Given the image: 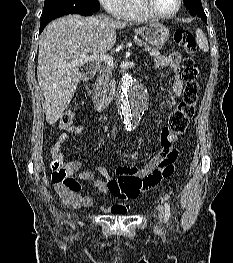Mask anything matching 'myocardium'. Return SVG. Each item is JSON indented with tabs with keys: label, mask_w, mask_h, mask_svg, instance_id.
Wrapping results in <instances>:
<instances>
[{
	"label": "myocardium",
	"mask_w": 233,
	"mask_h": 263,
	"mask_svg": "<svg viewBox=\"0 0 233 263\" xmlns=\"http://www.w3.org/2000/svg\"><path fill=\"white\" fill-rule=\"evenodd\" d=\"M183 0H177V5L174 11L163 14L157 12L151 5L150 0H139L141 7L153 18L168 19L174 17L180 10Z\"/></svg>",
	"instance_id": "1"
}]
</instances>
